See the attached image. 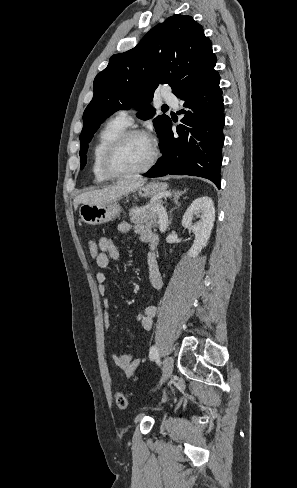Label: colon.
I'll return each mask as SVG.
<instances>
[{
  "label": "colon",
  "mask_w": 297,
  "mask_h": 488,
  "mask_svg": "<svg viewBox=\"0 0 297 488\" xmlns=\"http://www.w3.org/2000/svg\"><path fill=\"white\" fill-rule=\"evenodd\" d=\"M88 248H89L90 256L93 259H96L99 254L98 243L95 240H89ZM170 392L171 391L168 389L164 391V397L162 401H165V399L170 394ZM115 402L119 410H125L128 407V398L126 394L123 393L122 391H117L115 393Z\"/></svg>",
  "instance_id": "colon-1"
}]
</instances>
